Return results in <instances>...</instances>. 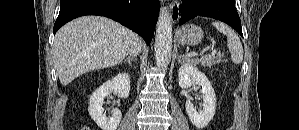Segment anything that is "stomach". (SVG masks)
Instances as JSON below:
<instances>
[{"instance_id": "0dacf381", "label": "stomach", "mask_w": 299, "mask_h": 130, "mask_svg": "<svg viewBox=\"0 0 299 130\" xmlns=\"http://www.w3.org/2000/svg\"><path fill=\"white\" fill-rule=\"evenodd\" d=\"M203 31L194 24H186L177 32V39L182 45H196L203 39Z\"/></svg>"}]
</instances>
